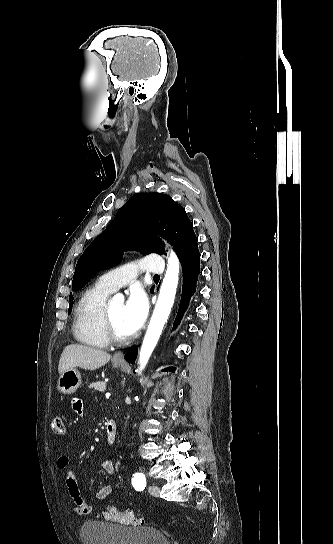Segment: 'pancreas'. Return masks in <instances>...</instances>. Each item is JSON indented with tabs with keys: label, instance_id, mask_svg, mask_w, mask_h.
<instances>
[{
	"label": "pancreas",
	"instance_id": "pancreas-1",
	"mask_svg": "<svg viewBox=\"0 0 333 544\" xmlns=\"http://www.w3.org/2000/svg\"><path fill=\"white\" fill-rule=\"evenodd\" d=\"M90 389L98 392H104L106 390V383L103 381L93 382L89 385Z\"/></svg>",
	"mask_w": 333,
	"mask_h": 544
}]
</instances>
